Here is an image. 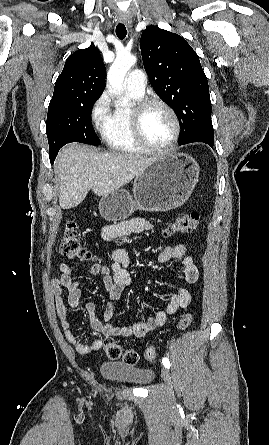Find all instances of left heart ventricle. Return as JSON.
I'll return each mask as SVG.
<instances>
[{"label":"left heart ventricle","mask_w":269,"mask_h":445,"mask_svg":"<svg viewBox=\"0 0 269 445\" xmlns=\"http://www.w3.org/2000/svg\"><path fill=\"white\" fill-rule=\"evenodd\" d=\"M146 141L153 147H162L171 139L174 132L172 118L159 106L147 110L142 121Z\"/></svg>","instance_id":"b2bd125f"}]
</instances>
